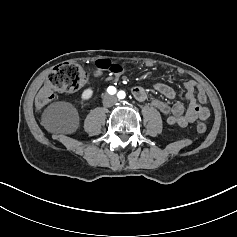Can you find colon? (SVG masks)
<instances>
[{"label":"colon","instance_id":"colon-1","mask_svg":"<svg viewBox=\"0 0 237 237\" xmlns=\"http://www.w3.org/2000/svg\"><path fill=\"white\" fill-rule=\"evenodd\" d=\"M96 69L100 72H107L114 77L125 72L122 65L106 59L97 60ZM88 78V72L78 64L64 63L54 67L37 94L36 107L39 110L44 109L60 92L77 91L88 81ZM196 129L199 133H205L207 127L203 121H198Z\"/></svg>","mask_w":237,"mask_h":237}]
</instances>
